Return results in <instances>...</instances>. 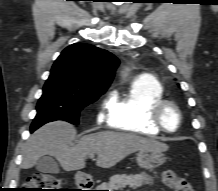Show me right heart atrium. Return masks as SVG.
<instances>
[{
  "label": "right heart atrium",
  "mask_w": 218,
  "mask_h": 191,
  "mask_svg": "<svg viewBox=\"0 0 218 191\" xmlns=\"http://www.w3.org/2000/svg\"><path fill=\"white\" fill-rule=\"evenodd\" d=\"M115 103L116 97L113 93H111L102 103L101 110L97 116V120L99 123H102L109 119Z\"/></svg>",
  "instance_id": "right-heart-atrium-1"
}]
</instances>
